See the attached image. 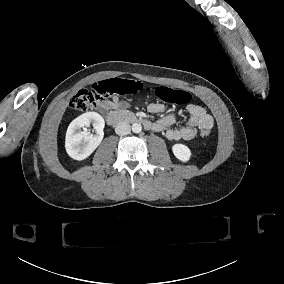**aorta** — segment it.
I'll return each instance as SVG.
<instances>
[{
	"label": "aorta",
	"mask_w": 284,
	"mask_h": 284,
	"mask_svg": "<svg viewBox=\"0 0 284 284\" xmlns=\"http://www.w3.org/2000/svg\"><path fill=\"white\" fill-rule=\"evenodd\" d=\"M141 130H142L141 124H139V123H134V124L132 125V131H133L134 133H140Z\"/></svg>",
	"instance_id": "aorta-1"
}]
</instances>
